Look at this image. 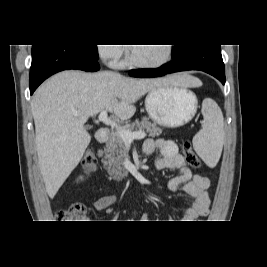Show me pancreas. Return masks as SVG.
Returning <instances> with one entry per match:
<instances>
[{"label": "pancreas", "mask_w": 267, "mask_h": 267, "mask_svg": "<svg viewBox=\"0 0 267 267\" xmlns=\"http://www.w3.org/2000/svg\"><path fill=\"white\" fill-rule=\"evenodd\" d=\"M136 128L139 130H146L150 137L159 136L162 133L161 128H158L154 123H150L147 119H143L141 122L136 120L132 125L124 127V129L131 132ZM104 153L105 157L102 162L109 175L114 177L122 176L124 172L123 156L125 154V142L118 132H114L111 135L106 143Z\"/></svg>", "instance_id": "pancreas-1"}]
</instances>
